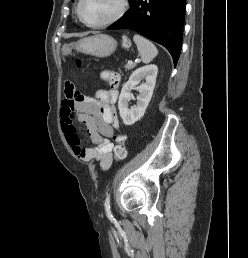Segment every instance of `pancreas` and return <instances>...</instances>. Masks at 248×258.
<instances>
[{"label":"pancreas","mask_w":248,"mask_h":258,"mask_svg":"<svg viewBox=\"0 0 248 258\" xmlns=\"http://www.w3.org/2000/svg\"><path fill=\"white\" fill-rule=\"evenodd\" d=\"M136 66V63H127L126 65H125V69L126 70H131V69H133L134 67Z\"/></svg>","instance_id":"1"}]
</instances>
